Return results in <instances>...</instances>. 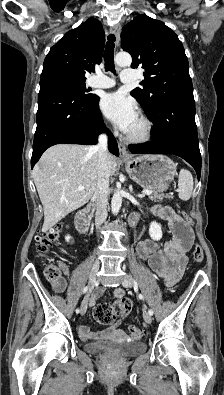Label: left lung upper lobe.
<instances>
[{"label": "left lung upper lobe", "mask_w": 224, "mask_h": 395, "mask_svg": "<svg viewBox=\"0 0 224 395\" xmlns=\"http://www.w3.org/2000/svg\"><path fill=\"white\" fill-rule=\"evenodd\" d=\"M121 47L131 54L132 68L145 69L142 88H135L131 95L146 114L155 112L168 101L194 99L183 45L163 22L137 15L122 29Z\"/></svg>", "instance_id": "left-lung-upper-lobe-1"}]
</instances>
